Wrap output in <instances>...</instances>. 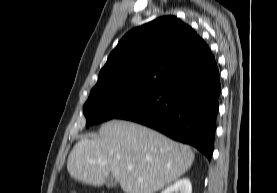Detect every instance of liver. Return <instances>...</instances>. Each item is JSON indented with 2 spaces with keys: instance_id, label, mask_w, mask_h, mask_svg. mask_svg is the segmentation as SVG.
I'll use <instances>...</instances> for the list:
<instances>
[{
  "instance_id": "obj_1",
  "label": "liver",
  "mask_w": 277,
  "mask_h": 193,
  "mask_svg": "<svg viewBox=\"0 0 277 193\" xmlns=\"http://www.w3.org/2000/svg\"><path fill=\"white\" fill-rule=\"evenodd\" d=\"M194 158L189 146L153 129L111 120L100 127L96 138H82L75 144L67 170L86 184L100 186L112 176L125 193H155L182 176Z\"/></svg>"
}]
</instances>
